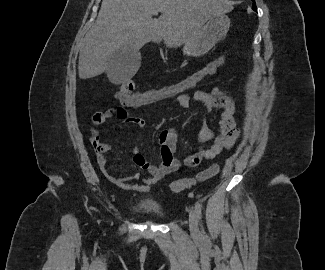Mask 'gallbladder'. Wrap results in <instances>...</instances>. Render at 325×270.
<instances>
[{"label": "gallbladder", "instance_id": "obj_1", "mask_svg": "<svg viewBox=\"0 0 325 270\" xmlns=\"http://www.w3.org/2000/svg\"><path fill=\"white\" fill-rule=\"evenodd\" d=\"M141 64V54L127 45L115 51L108 60L107 75L117 80L132 78Z\"/></svg>", "mask_w": 325, "mask_h": 270}]
</instances>
